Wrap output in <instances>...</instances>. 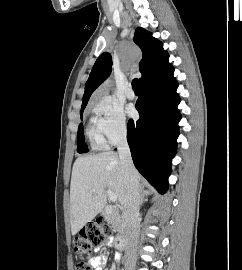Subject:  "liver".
<instances>
[{
  "instance_id": "6515ba94",
  "label": "liver",
  "mask_w": 242,
  "mask_h": 270,
  "mask_svg": "<svg viewBox=\"0 0 242 270\" xmlns=\"http://www.w3.org/2000/svg\"><path fill=\"white\" fill-rule=\"evenodd\" d=\"M135 178L139 189H142V178L137 171ZM106 188L124 204L127 186L119 156L114 152H103L78 157L73 165L70 184L72 235H76L104 209L108 199Z\"/></svg>"
}]
</instances>
